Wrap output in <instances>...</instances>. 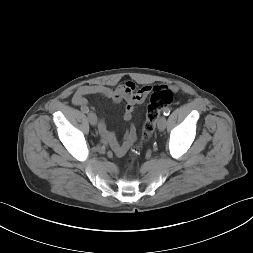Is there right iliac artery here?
Returning a JSON list of instances; mask_svg holds the SVG:
<instances>
[{
	"label": "right iliac artery",
	"instance_id": "obj_1",
	"mask_svg": "<svg viewBox=\"0 0 253 253\" xmlns=\"http://www.w3.org/2000/svg\"><path fill=\"white\" fill-rule=\"evenodd\" d=\"M82 111H83L84 113H88V112H89V109L86 107V108H83Z\"/></svg>",
	"mask_w": 253,
	"mask_h": 253
}]
</instances>
